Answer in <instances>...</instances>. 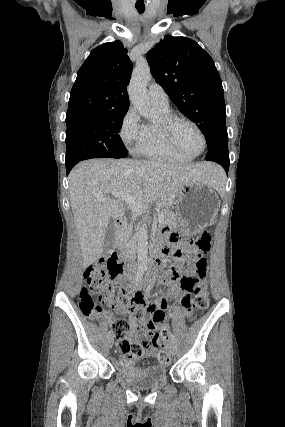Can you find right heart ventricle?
Here are the masks:
<instances>
[{
    "label": "right heart ventricle",
    "mask_w": 285,
    "mask_h": 427,
    "mask_svg": "<svg viewBox=\"0 0 285 427\" xmlns=\"http://www.w3.org/2000/svg\"><path fill=\"white\" fill-rule=\"evenodd\" d=\"M156 107L161 115L171 113L169 107ZM137 153L163 162L185 163L191 160V158L179 154L169 146L159 131L157 123L154 122L145 125L144 140Z\"/></svg>",
    "instance_id": "e07e8e85"
}]
</instances>
